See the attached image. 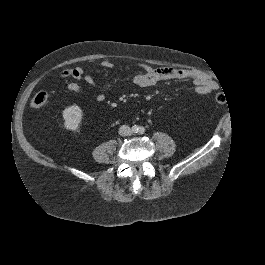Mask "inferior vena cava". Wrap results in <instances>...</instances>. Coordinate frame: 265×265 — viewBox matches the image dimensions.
Listing matches in <instances>:
<instances>
[{"label":"inferior vena cava","mask_w":265,"mask_h":265,"mask_svg":"<svg viewBox=\"0 0 265 265\" xmlns=\"http://www.w3.org/2000/svg\"><path fill=\"white\" fill-rule=\"evenodd\" d=\"M118 133L121 136H129V135L132 134V131H131V129L128 126L122 125L118 129Z\"/></svg>","instance_id":"inferior-vena-cava-1"}]
</instances>
